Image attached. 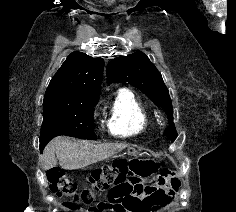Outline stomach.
I'll list each match as a JSON object with an SVG mask.
<instances>
[{
    "instance_id": "obj_1",
    "label": "stomach",
    "mask_w": 236,
    "mask_h": 212,
    "mask_svg": "<svg viewBox=\"0 0 236 212\" xmlns=\"http://www.w3.org/2000/svg\"><path fill=\"white\" fill-rule=\"evenodd\" d=\"M125 154L129 155V156H139L141 155V149L135 146L132 147H128Z\"/></svg>"
}]
</instances>
